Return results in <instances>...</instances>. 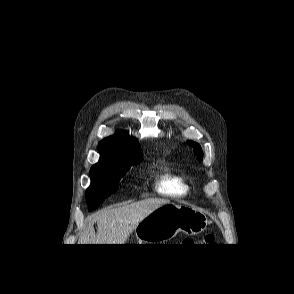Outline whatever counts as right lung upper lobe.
<instances>
[{"label": "right lung upper lobe", "instance_id": "1", "mask_svg": "<svg viewBox=\"0 0 294 294\" xmlns=\"http://www.w3.org/2000/svg\"><path fill=\"white\" fill-rule=\"evenodd\" d=\"M100 159H138L142 158L138 142L126 132L118 131L98 145Z\"/></svg>", "mask_w": 294, "mask_h": 294}]
</instances>
